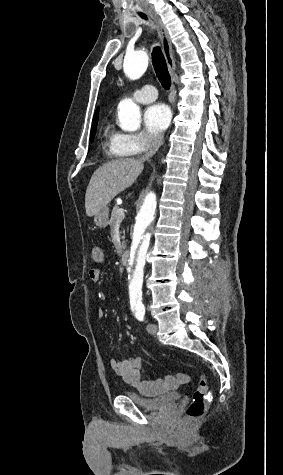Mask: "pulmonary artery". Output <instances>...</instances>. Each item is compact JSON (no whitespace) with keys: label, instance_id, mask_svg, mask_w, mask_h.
I'll return each mask as SVG.
<instances>
[{"label":"pulmonary artery","instance_id":"obj_1","mask_svg":"<svg viewBox=\"0 0 283 475\" xmlns=\"http://www.w3.org/2000/svg\"><path fill=\"white\" fill-rule=\"evenodd\" d=\"M158 89L152 85H146L132 90L133 99L139 103H148L156 99Z\"/></svg>","mask_w":283,"mask_h":475}]
</instances>
